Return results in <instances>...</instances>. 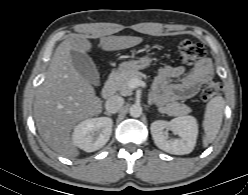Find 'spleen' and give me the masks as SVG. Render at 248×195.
<instances>
[{"label":"spleen","instance_id":"spleen-1","mask_svg":"<svg viewBox=\"0 0 248 195\" xmlns=\"http://www.w3.org/2000/svg\"><path fill=\"white\" fill-rule=\"evenodd\" d=\"M225 101L222 96H215L206 105L203 128L205 135L203 137V146L207 147L209 143L213 142L216 138L223 117V110Z\"/></svg>","mask_w":248,"mask_h":195}]
</instances>
